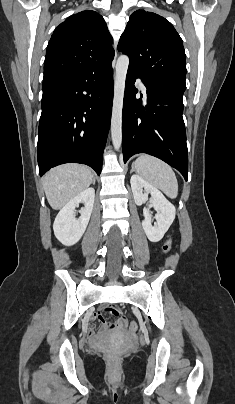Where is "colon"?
<instances>
[{
  "label": "colon",
  "mask_w": 235,
  "mask_h": 404,
  "mask_svg": "<svg viewBox=\"0 0 235 404\" xmlns=\"http://www.w3.org/2000/svg\"><path fill=\"white\" fill-rule=\"evenodd\" d=\"M172 247V238L169 237L165 243L163 244L162 250L164 253H169ZM105 312L112 316H117L119 310L114 307H107L105 308ZM106 326L108 329L114 330L117 328L127 327L130 332H136L138 325L136 322L131 321L130 323L127 322V319L124 317H120L115 321H108L106 322Z\"/></svg>",
  "instance_id": "5ec220e1"
}]
</instances>
